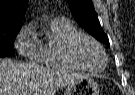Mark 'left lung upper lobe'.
Segmentation results:
<instances>
[{"instance_id": "left-lung-upper-lobe-1", "label": "left lung upper lobe", "mask_w": 135, "mask_h": 95, "mask_svg": "<svg viewBox=\"0 0 135 95\" xmlns=\"http://www.w3.org/2000/svg\"><path fill=\"white\" fill-rule=\"evenodd\" d=\"M67 2L78 24L109 47L108 37L100 25L91 0H67Z\"/></svg>"}]
</instances>
